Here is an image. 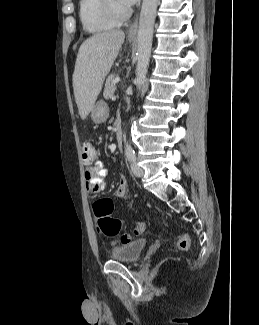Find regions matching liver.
I'll return each instance as SVG.
<instances>
[{"label": "liver", "instance_id": "obj_1", "mask_svg": "<svg viewBox=\"0 0 259 325\" xmlns=\"http://www.w3.org/2000/svg\"><path fill=\"white\" fill-rule=\"evenodd\" d=\"M124 39L123 31L110 30L94 34L80 46L73 73V89L82 120L91 112Z\"/></svg>", "mask_w": 259, "mask_h": 325}]
</instances>
